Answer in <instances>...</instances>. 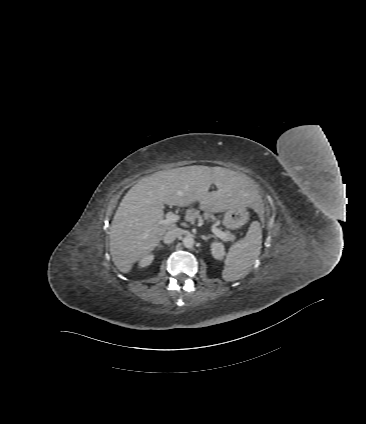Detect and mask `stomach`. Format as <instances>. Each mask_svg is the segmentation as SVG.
<instances>
[{
    "mask_svg": "<svg viewBox=\"0 0 366 424\" xmlns=\"http://www.w3.org/2000/svg\"><path fill=\"white\" fill-rule=\"evenodd\" d=\"M248 219V211L245 206H235L226 210L223 225L227 229L235 230L242 225L241 219Z\"/></svg>",
    "mask_w": 366,
    "mask_h": 424,
    "instance_id": "1",
    "label": "stomach"
}]
</instances>
